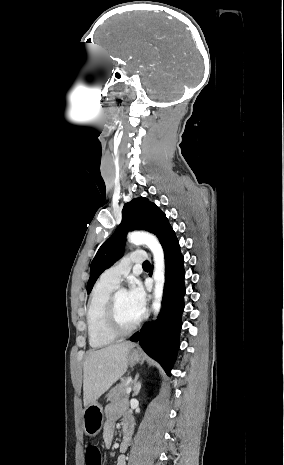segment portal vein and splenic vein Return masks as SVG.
<instances>
[{
  "label": "portal vein and splenic vein",
  "mask_w": 284,
  "mask_h": 465,
  "mask_svg": "<svg viewBox=\"0 0 284 465\" xmlns=\"http://www.w3.org/2000/svg\"><path fill=\"white\" fill-rule=\"evenodd\" d=\"M126 393H127V395H129V393H131L130 387H129V389H127Z\"/></svg>",
  "instance_id": "obj_1"
}]
</instances>
